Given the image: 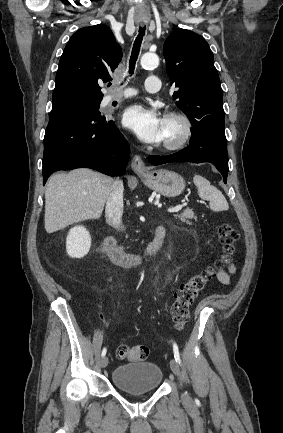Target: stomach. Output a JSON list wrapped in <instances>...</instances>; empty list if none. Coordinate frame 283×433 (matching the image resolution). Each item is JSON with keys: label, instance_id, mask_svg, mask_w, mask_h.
Masks as SVG:
<instances>
[{"label": "stomach", "instance_id": "stomach-1", "mask_svg": "<svg viewBox=\"0 0 283 433\" xmlns=\"http://www.w3.org/2000/svg\"><path fill=\"white\" fill-rule=\"evenodd\" d=\"M138 174L146 186L164 194V196H178L185 188L183 176L177 172H172V170H166V168L147 170V172L140 170Z\"/></svg>", "mask_w": 283, "mask_h": 433}]
</instances>
